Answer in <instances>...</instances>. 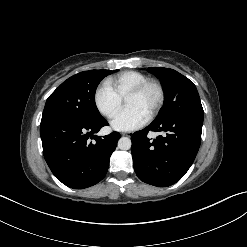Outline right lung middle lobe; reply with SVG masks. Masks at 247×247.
<instances>
[{
  "instance_id": "right-lung-middle-lobe-1",
  "label": "right lung middle lobe",
  "mask_w": 247,
  "mask_h": 247,
  "mask_svg": "<svg viewBox=\"0 0 247 247\" xmlns=\"http://www.w3.org/2000/svg\"><path fill=\"white\" fill-rule=\"evenodd\" d=\"M116 71L90 70L68 78L48 97L41 122L65 118L92 123L102 118L95 104L96 88Z\"/></svg>"
}]
</instances>
